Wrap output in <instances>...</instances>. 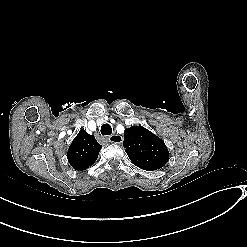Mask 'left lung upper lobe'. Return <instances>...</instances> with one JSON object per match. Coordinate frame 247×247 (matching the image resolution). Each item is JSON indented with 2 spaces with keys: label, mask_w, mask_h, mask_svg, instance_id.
<instances>
[{
  "label": "left lung upper lobe",
  "mask_w": 247,
  "mask_h": 247,
  "mask_svg": "<svg viewBox=\"0 0 247 247\" xmlns=\"http://www.w3.org/2000/svg\"><path fill=\"white\" fill-rule=\"evenodd\" d=\"M123 145L132 163L146 171L162 168L169 159L164 141L143 126L126 129Z\"/></svg>",
  "instance_id": "left-lung-upper-lobe-1"
}]
</instances>
